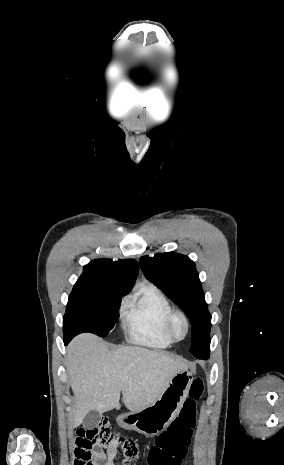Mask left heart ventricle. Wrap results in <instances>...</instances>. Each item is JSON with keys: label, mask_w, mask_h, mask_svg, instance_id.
Returning <instances> with one entry per match:
<instances>
[{"label": "left heart ventricle", "mask_w": 284, "mask_h": 465, "mask_svg": "<svg viewBox=\"0 0 284 465\" xmlns=\"http://www.w3.org/2000/svg\"><path fill=\"white\" fill-rule=\"evenodd\" d=\"M172 330H173V334L178 338V339H182L184 338L185 334H186V328H185V325H184V322L182 320L181 317H177L173 323V327H172Z\"/></svg>", "instance_id": "b2bd125f"}]
</instances>
